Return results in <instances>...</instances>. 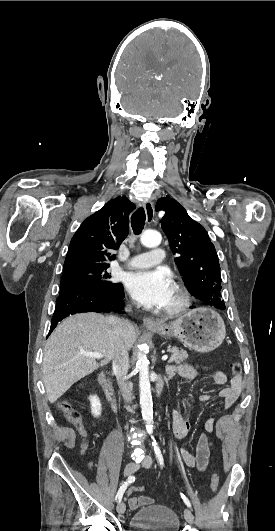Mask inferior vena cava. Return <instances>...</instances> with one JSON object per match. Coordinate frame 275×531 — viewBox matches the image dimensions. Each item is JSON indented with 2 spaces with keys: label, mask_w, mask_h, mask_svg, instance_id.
<instances>
[{
  "label": "inferior vena cava",
  "mask_w": 275,
  "mask_h": 531,
  "mask_svg": "<svg viewBox=\"0 0 275 531\" xmlns=\"http://www.w3.org/2000/svg\"><path fill=\"white\" fill-rule=\"evenodd\" d=\"M107 323H109L113 329V371L117 377L120 393L125 403H130L133 395V383L128 381V369H130V365L128 349H126L124 341H122V321L121 319H118V317H108ZM128 409L131 411L130 407H128Z\"/></svg>",
  "instance_id": "1"
}]
</instances>
